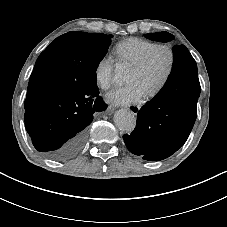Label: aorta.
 <instances>
[{"label": "aorta", "instance_id": "1", "mask_svg": "<svg viewBox=\"0 0 227 227\" xmlns=\"http://www.w3.org/2000/svg\"><path fill=\"white\" fill-rule=\"evenodd\" d=\"M124 70L118 68L115 74V80L121 81L124 77ZM114 122L117 128L124 132L130 133L136 125V117L134 113L128 109L118 110L114 115Z\"/></svg>", "mask_w": 227, "mask_h": 227}]
</instances>
